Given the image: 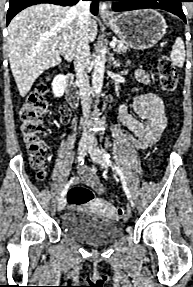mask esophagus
Returning <instances> with one entry per match:
<instances>
[{"mask_svg":"<svg viewBox=\"0 0 193 287\" xmlns=\"http://www.w3.org/2000/svg\"><path fill=\"white\" fill-rule=\"evenodd\" d=\"M99 14L102 19H110L112 17V14L110 13L108 9V5L105 1H100L99 3Z\"/></svg>","mask_w":193,"mask_h":287,"instance_id":"34e87169","label":"esophagus"}]
</instances>
